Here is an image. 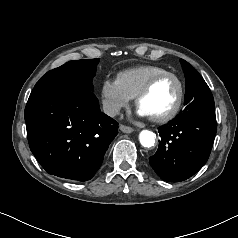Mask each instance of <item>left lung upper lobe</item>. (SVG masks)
Instances as JSON below:
<instances>
[{"label":"left lung upper lobe","instance_id":"obj_1","mask_svg":"<svg viewBox=\"0 0 238 238\" xmlns=\"http://www.w3.org/2000/svg\"><path fill=\"white\" fill-rule=\"evenodd\" d=\"M186 78L185 108L179 117L215 112L213 95L202 76L188 62L180 60Z\"/></svg>","mask_w":238,"mask_h":238}]
</instances>
